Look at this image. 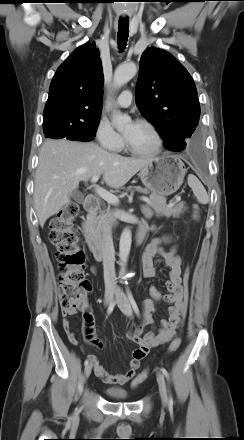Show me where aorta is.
Here are the masks:
<instances>
[{"instance_id":"obj_1","label":"aorta","mask_w":244,"mask_h":440,"mask_svg":"<svg viewBox=\"0 0 244 440\" xmlns=\"http://www.w3.org/2000/svg\"><path fill=\"white\" fill-rule=\"evenodd\" d=\"M137 68L133 63L122 64L118 66L114 72L113 85L115 88H119L129 82L136 74ZM131 121L130 117L126 114H122L120 111L112 110V122L118 131H121ZM132 242V233L129 228H125L120 237L119 243V258L121 269L124 270Z\"/></svg>"}]
</instances>
